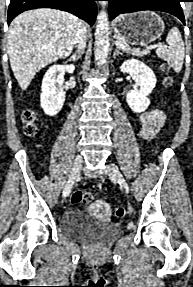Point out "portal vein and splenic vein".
I'll return each instance as SVG.
<instances>
[{
  "label": "portal vein and splenic vein",
  "mask_w": 193,
  "mask_h": 287,
  "mask_svg": "<svg viewBox=\"0 0 193 287\" xmlns=\"http://www.w3.org/2000/svg\"><path fill=\"white\" fill-rule=\"evenodd\" d=\"M115 45L121 49H125V45L123 43H121L120 41H116L115 42ZM163 48V47H166V45L164 44H160V45H155V46H149V48Z\"/></svg>",
  "instance_id": "18ae733b"
}]
</instances>
